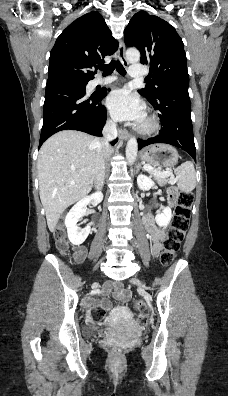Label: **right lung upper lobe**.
I'll return each instance as SVG.
<instances>
[{"instance_id": "1", "label": "right lung upper lobe", "mask_w": 228, "mask_h": 396, "mask_svg": "<svg viewBox=\"0 0 228 396\" xmlns=\"http://www.w3.org/2000/svg\"><path fill=\"white\" fill-rule=\"evenodd\" d=\"M117 49V40L98 12L79 17L60 34L51 50L46 87L92 80L96 73L92 67Z\"/></svg>"}]
</instances>
